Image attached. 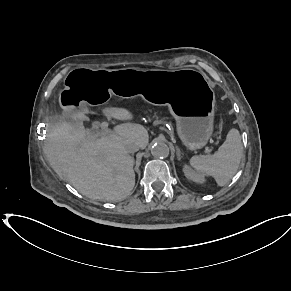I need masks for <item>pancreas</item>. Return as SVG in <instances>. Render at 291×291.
Instances as JSON below:
<instances>
[{"instance_id":"obj_1","label":"pancreas","mask_w":291,"mask_h":291,"mask_svg":"<svg viewBox=\"0 0 291 291\" xmlns=\"http://www.w3.org/2000/svg\"><path fill=\"white\" fill-rule=\"evenodd\" d=\"M145 114L149 121L153 120L155 123H158V124H165V123L172 124V122L169 121L168 117L161 116V112L157 110H154V111L148 110V111H145Z\"/></svg>"}]
</instances>
